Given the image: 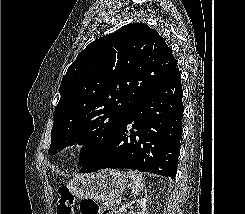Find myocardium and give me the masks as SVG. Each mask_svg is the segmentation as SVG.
Listing matches in <instances>:
<instances>
[{
	"instance_id": "myocardium-1",
	"label": "myocardium",
	"mask_w": 245,
	"mask_h": 214,
	"mask_svg": "<svg viewBox=\"0 0 245 214\" xmlns=\"http://www.w3.org/2000/svg\"><path fill=\"white\" fill-rule=\"evenodd\" d=\"M84 146H85V142L83 140L75 139L71 141L68 145H66L65 151L67 153H72L82 149Z\"/></svg>"
}]
</instances>
